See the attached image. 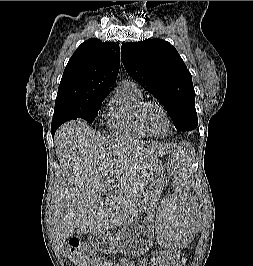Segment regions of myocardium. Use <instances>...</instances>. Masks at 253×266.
<instances>
[{"label":"myocardium","instance_id":"1","mask_svg":"<svg viewBox=\"0 0 253 266\" xmlns=\"http://www.w3.org/2000/svg\"><path fill=\"white\" fill-rule=\"evenodd\" d=\"M150 105H155L157 106L158 108L161 109V111L164 113L165 117H166V120H167V130L166 132L163 134V135H156L154 133H152L149 128L146 126L145 124V121H144V113H145V110L148 106ZM137 121H138V124L140 126V128L150 137H154V138H163L165 136L168 135V133L170 132V129H171V119H170V116L166 110V108L158 101H155V100H144L138 110H137Z\"/></svg>","mask_w":253,"mask_h":266}]
</instances>
